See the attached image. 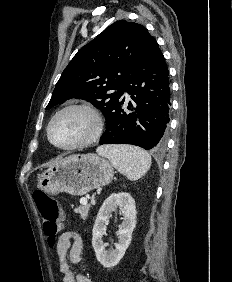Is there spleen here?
<instances>
[{
  "mask_svg": "<svg viewBox=\"0 0 232 282\" xmlns=\"http://www.w3.org/2000/svg\"><path fill=\"white\" fill-rule=\"evenodd\" d=\"M97 152L107 157L112 165L130 180L141 178L151 166V156L135 146H102Z\"/></svg>",
  "mask_w": 232,
  "mask_h": 282,
  "instance_id": "obj_1",
  "label": "spleen"
}]
</instances>
